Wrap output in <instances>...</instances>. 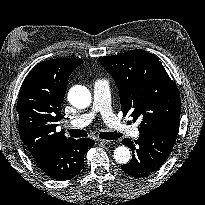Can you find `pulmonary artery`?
<instances>
[{"label": "pulmonary artery", "mask_w": 205, "mask_h": 205, "mask_svg": "<svg viewBox=\"0 0 205 205\" xmlns=\"http://www.w3.org/2000/svg\"><path fill=\"white\" fill-rule=\"evenodd\" d=\"M100 114L103 118L106 126L116 133L122 131H128L133 137L139 136V130L137 126L128 127L123 121H121L115 114L111 106V95L109 84L105 80H96L93 84V103L91 109L74 118L70 125L77 128H83L89 125L95 116Z\"/></svg>", "instance_id": "obj_1"}]
</instances>
